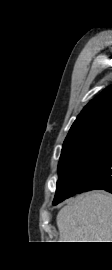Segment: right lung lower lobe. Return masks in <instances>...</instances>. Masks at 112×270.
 <instances>
[{
    "mask_svg": "<svg viewBox=\"0 0 112 270\" xmlns=\"http://www.w3.org/2000/svg\"><path fill=\"white\" fill-rule=\"evenodd\" d=\"M83 191L103 189L112 193V143L102 158L82 177Z\"/></svg>",
    "mask_w": 112,
    "mask_h": 270,
    "instance_id": "right-lung-lower-lobe-1",
    "label": "right lung lower lobe"
}]
</instances>
